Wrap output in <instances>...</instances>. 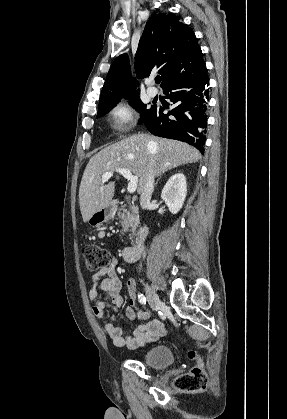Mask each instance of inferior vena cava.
I'll list each match as a JSON object with an SVG mask.
<instances>
[{"mask_svg":"<svg viewBox=\"0 0 287 419\" xmlns=\"http://www.w3.org/2000/svg\"><path fill=\"white\" fill-rule=\"evenodd\" d=\"M154 181H155V174L152 168L150 167L148 174L146 176L144 188L140 195V205L142 209H146L150 204L152 193L154 191V185H155Z\"/></svg>","mask_w":287,"mask_h":419,"instance_id":"602c4592","label":"inferior vena cava"}]
</instances>
